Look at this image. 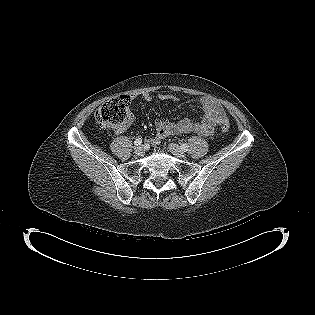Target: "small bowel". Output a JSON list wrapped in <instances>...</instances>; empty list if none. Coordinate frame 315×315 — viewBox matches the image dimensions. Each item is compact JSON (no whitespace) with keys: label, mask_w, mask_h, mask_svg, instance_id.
I'll list each match as a JSON object with an SVG mask.
<instances>
[{"label":"small bowel","mask_w":315,"mask_h":315,"mask_svg":"<svg viewBox=\"0 0 315 315\" xmlns=\"http://www.w3.org/2000/svg\"><path fill=\"white\" fill-rule=\"evenodd\" d=\"M142 98L145 102H151L154 99L149 93L143 94ZM158 98L162 101L175 102L178 100L176 96L164 93H160ZM197 104L202 110V119L200 121H194L192 119H183L178 122L156 120V134L153 137L147 138V142L154 145L161 139L176 134L198 133L210 136L213 134L216 126L227 121L223 107L215 99L206 96L200 97ZM121 131H123V129L117 130V132Z\"/></svg>","instance_id":"1"}]
</instances>
